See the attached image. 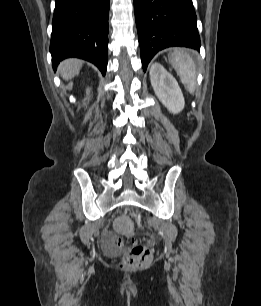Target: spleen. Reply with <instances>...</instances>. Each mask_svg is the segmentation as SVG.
<instances>
[{"mask_svg":"<svg viewBox=\"0 0 261 306\" xmlns=\"http://www.w3.org/2000/svg\"><path fill=\"white\" fill-rule=\"evenodd\" d=\"M170 61L182 83L190 93H194L196 87V67L192 57L182 50H175L170 55Z\"/></svg>","mask_w":261,"mask_h":306,"instance_id":"obj_1","label":"spleen"}]
</instances>
